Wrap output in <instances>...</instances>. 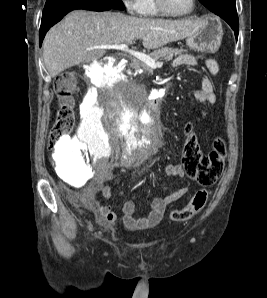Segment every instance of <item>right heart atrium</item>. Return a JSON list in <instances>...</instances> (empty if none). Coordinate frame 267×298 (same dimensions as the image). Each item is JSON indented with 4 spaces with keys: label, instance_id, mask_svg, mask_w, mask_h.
<instances>
[{
    "label": "right heart atrium",
    "instance_id": "1",
    "mask_svg": "<svg viewBox=\"0 0 267 298\" xmlns=\"http://www.w3.org/2000/svg\"><path fill=\"white\" fill-rule=\"evenodd\" d=\"M125 9L130 14H139L142 0H122Z\"/></svg>",
    "mask_w": 267,
    "mask_h": 298
}]
</instances>
